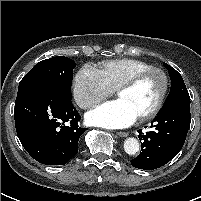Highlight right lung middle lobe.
Returning <instances> with one entry per match:
<instances>
[{"instance_id":"right-lung-middle-lobe-1","label":"right lung middle lobe","mask_w":201,"mask_h":201,"mask_svg":"<svg viewBox=\"0 0 201 201\" xmlns=\"http://www.w3.org/2000/svg\"><path fill=\"white\" fill-rule=\"evenodd\" d=\"M76 63L67 57H52L37 63L20 81L19 87L31 83H46L56 87L72 99L71 84Z\"/></svg>"}]
</instances>
